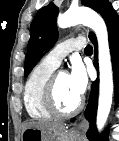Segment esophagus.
Returning a JSON list of instances; mask_svg holds the SVG:
<instances>
[{
  "label": "esophagus",
  "instance_id": "obj_1",
  "mask_svg": "<svg viewBox=\"0 0 119 141\" xmlns=\"http://www.w3.org/2000/svg\"><path fill=\"white\" fill-rule=\"evenodd\" d=\"M88 127L89 123L86 119H82L77 126V128L83 132H86L88 130Z\"/></svg>",
  "mask_w": 119,
  "mask_h": 141
}]
</instances>
